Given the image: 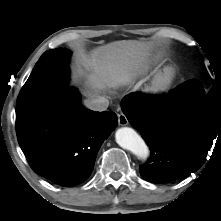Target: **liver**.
Masks as SVG:
<instances>
[{
	"label": "liver",
	"instance_id": "6515ba94",
	"mask_svg": "<svg viewBox=\"0 0 221 221\" xmlns=\"http://www.w3.org/2000/svg\"><path fill=\"white\" fill-rule=\"evenodd\" d=\"M151 45L137 40H122L93 49L82 58L87 83L96 92L131 83L148 67ZM96 96L93 94L91 97Z\"/></svg>",
	"mask_w": 221,
	"mask_h": 221
}]
</instances>
